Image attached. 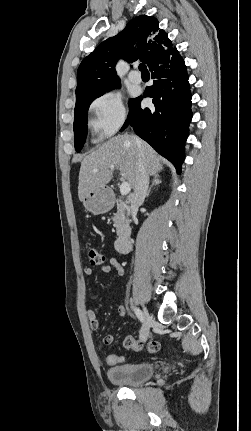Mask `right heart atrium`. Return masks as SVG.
<instances>
[{
    "instance_id": "1",
    "label": "right heart atrium",
    "mask_w": 251,
    "mask_h": 431,
    "mask_svg": "<svg viewBox=\"0 0 251 431\" xmlns=\"http://www.w3.org/2000/svg\"><path fill=\"white\" fill-rule=\"evenodd\" d=\"M89 125L100 138L116 133L127 118L122 97L117 93L104 92L89 105Z\"/></svg>"
}]
</instances>
